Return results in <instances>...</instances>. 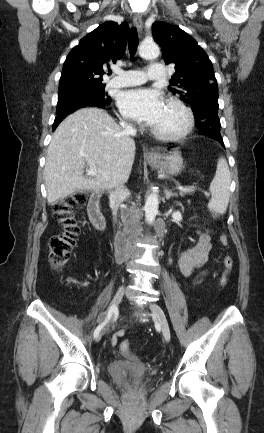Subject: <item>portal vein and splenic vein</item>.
<instances>
[{
    "instance_id": "portal-vein-and-splenic-vein-1",
    "label": "portal vein and splenic vein",
    "mask_w": 264,
    "mask_h": 433,
    "mask_svg": "<svg viewBox=\"0 0 264 433\" xmlns=\"http://www.w3.org/2000/svg\"><path fill=\"white\" fill-rule=\"evenodd\" d=\"M87 173H88V175L95 176L96 175V168L90 167V169L87 171ZM176 189H178L180 191V193H192L195 190V188L193 186H191V187H177ZM205 194H207V193L205 192Z\"/></svg>"
}]
</instances>
